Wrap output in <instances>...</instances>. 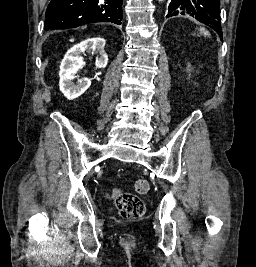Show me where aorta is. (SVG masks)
Returning <instances> with one entry per match:
<instances>
[{
  "label": "aorta",
  "instance_id": "obj_1",
  "mask_svg": "<svg viewBox=\"0 0 256 267\" xmlns=\"http://www.w3.org/2000/svg\"><path fill=\"white\" fill-rule=\"evenodd\" d=\"M159 2H163V0H159Z\"/></svg>",
  "mask_w": 256,
  "mask_h": 267
}]
</instances>
